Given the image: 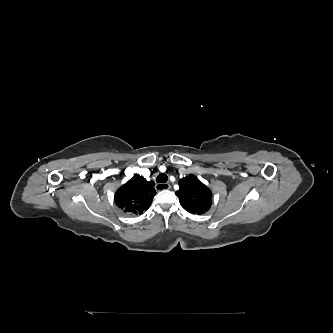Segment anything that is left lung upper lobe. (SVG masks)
<instances>
[{
    "label": "left lung upper lobe",
    "mask_w": 333,
    "mask_h": 333,
    "mask_svg": "<svg viewBox=\"0 0 333 333\" xmlns=\"http://www.w3.org/2000/svg\"><path fill=\"white\" fill-rule=\"evenodd\" d=\"M181 206L193 214L207 212L212 204L211 191L195 175H188L179 181L176 192Z\"/></svg>",
    "instance_id": "obj_1"
}]
</instances>
